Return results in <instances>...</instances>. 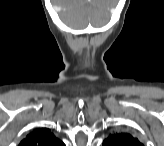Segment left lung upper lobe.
Segmentation results:
<instances>
[{
  "label": "left lung upper lobe",
  "instance_id": "obj_1",
  "mask_svg": "<svg viewBox=\"0 0 164 146\" xmlns=\"http://www.w3.org/2000/svg\"><path fill=\"white\" fill-rule=\"evenodd\" d=\"M103 146H143L137 138L128 133L110 134L103 142Z\"/></svg>",
  "mask_w": 164,
  "mask_h": 146
}]
</instances>
